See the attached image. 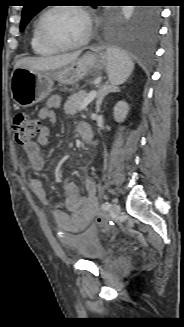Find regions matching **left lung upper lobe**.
<instances>
[{"label":"left lung upper lobe","instance_id":"left-lung-upper-lobe-1","mask_svg":"<svg viewBox=\"0 0 184 327\" xmlns=\"http://www.w3.org/2000/svg\"><path fill=\"white\" fill-rule=\"evenodd\" d=\"M26 3L22 11L21 31L24 30L31 18L44 8L43 0H27Z\"/></svg>","mask_w":184,"mask_h":327}]
</instances>
